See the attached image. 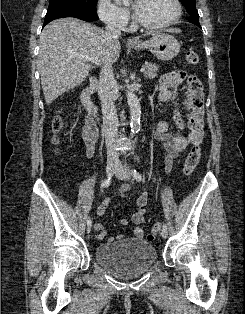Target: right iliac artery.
I'll return each instance as SVG.
<instances>
[{"label": "right iliac artery", "mask_w": 245, "mask_h": 314, "mask_svg": "<svg viewBox=\"0 0 245 314\" xmlns=\"http://www.w3.org/2000/svg\"><path fill=\"white\" fill-rule=\"evenodd\" d=\"M110 183H111V178L109 177V178L105 179V180L101 183V187H102V188H106V187H108V186L110 185ZM91 223H92L91 219L88 218V219H87V225H89V224H91Z\"/></svg>", "instance_id": "1"}]
</instances>
